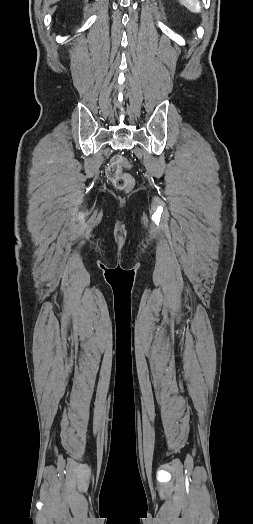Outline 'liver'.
Instances as JSON below:
<instances>
[{
    "label": "liver",
    "instance_id": "liver-1",
    "mask_svg": "<svg viewBox=\"0 0 253 524\" xmlns=\"http://www.w3.org/2000/svg\"><path fill=\"white\" fill-rule=\"evenodd\" d=\"M58 1H59V0H49V3L52 4V3H56V2H58Z\"/></svg>",
    "mask_w": 253,
    "mask_h": 524
}]
</instances>
